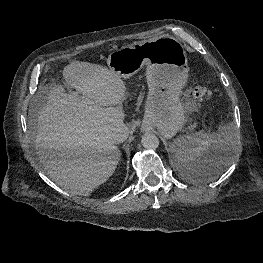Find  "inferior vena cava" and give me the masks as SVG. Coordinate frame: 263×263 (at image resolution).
I'll use <instances>...</instances> for the list:
<instances>
[{"label": "inferior vena cava", "instance_id": "obj_1", "mask_svg": "<svg viewBox=\"0 0 263 263\" xmlns=\"http://www.w3.org/2000/svg\"><path fill=\"white\" fill-rule=\"evenodd\" d=\"M128 133V129L125 125L116 127L111 134V139L114 143H122L127 139Z\"/></svg>", "mask_w": 263, "mask_h": 263}]
</instances>
